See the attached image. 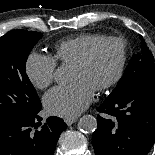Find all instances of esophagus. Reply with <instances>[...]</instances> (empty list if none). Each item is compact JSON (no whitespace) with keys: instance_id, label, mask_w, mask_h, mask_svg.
<instances>
[{"instance_id":"1","label":"esophagus","mask_w":155,"mask_h":155,"mask_svg":"<svg viewBox=\"0 0 155 155\" xmlns=\"http://www.w3.org/2000/svg\"><path fill=\"white\" fill-rule=\"evenodd\" d=\"M65 122L68 126H71L73 123L76 122V118H65Z\"/></svg>"}]
</instances>
